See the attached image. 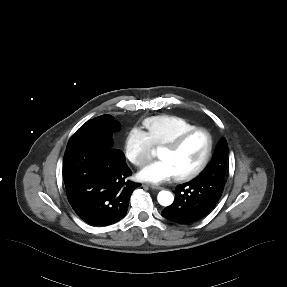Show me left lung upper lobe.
Wrapping results in <instances>:
<instances>
[{
	"instance_id": "5c2ea615",
	"label": "left lung upper lobe",
	"mask_w": 287,
	"mask_h": 287,
	"mask_svg": "<svg viewBox=\"0 0 287 287\" xmlns=\"http://www.w3.org/2000/svg\"><path fill=\"white\" fill-rule=\"evenodd\" d=\"M228 145L223 138L216 147L215 153L210 164L206 169L193 181L201 185H210V181L221 179L224 181L227 169Z\"/></svg>"
}]
</instances>
